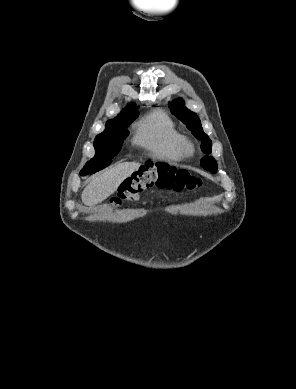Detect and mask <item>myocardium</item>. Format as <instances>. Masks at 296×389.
<instances>
[{
	"mask_svg": "<svg viewBox=\"0 0 296 389\" xmlns=\"http://www.w3.org/2000/svg\"><path fill=\"white\" fill-rule=\"evenodd\" d=\"M181 149L184 156H191L194 154L195 151L194 144L187 138L182 139Z\"/></svg>",
	"mask_w": 296,
	"mask_h": 389,
	"instance_id": "f54148a6",
	"label": "myocardium"
}]
</instances>
